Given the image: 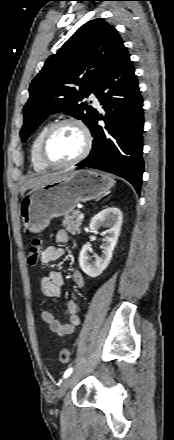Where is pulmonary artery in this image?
I'll return each mask as SVG.
<instances>
[{"label":"pulmonary artery","instance_id":"obj_1","mask_svg":"<svg viewBox=\"0 0 174 440\" xmlns=\"http://www.w3.org/2000/svg\"><path fill=\"white\" fill-rule=\"evenodd\" d=\"M89 98H90V100L93 102V104H94L96 107H98V108L101 107L100 102H99V100L97 99V97H96L95 94H91V95L89 96Z\"/></svg>","mask_w":174,"mask_h":440}]
</instances>
